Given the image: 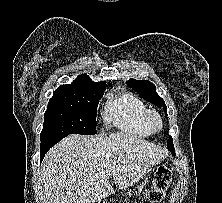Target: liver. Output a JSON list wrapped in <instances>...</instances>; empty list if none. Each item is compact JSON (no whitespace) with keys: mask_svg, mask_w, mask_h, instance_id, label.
<instances>
[{"mask_svg":"<svg viewBox=\"0 0 222 203\" xmlns=\"http://www.w3.org/2000/svg\"><path fill=\"white\" fill-rule=\"evenodd\" d=\"M141 137L69 135L45 155L40 171L45 203H95L140 181L167 156Z\"/></svg>","mask_w":222,"mask_h":203,"instance_id":"liver-1","label":"liver"}]
</instances>
